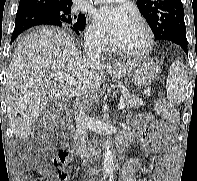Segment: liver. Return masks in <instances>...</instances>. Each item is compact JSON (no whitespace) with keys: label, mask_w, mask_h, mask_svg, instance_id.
Segmentation results:
<instances>
[{"label":"liver","mask_w":197,"mask_h":181,"mask_svg":"<svg viewBox=\"0 0 197 181\" xmlns=\"http://www.w3.org/2000/svg\"><path fill=\"white\" fill-rule=\"evenodd\" d=\"M134 61L111 65L91 62L73 38L60 30L40 28L18 44L6 75V104L10 127L18 138H27L35 120L53 98L90 94L104 81V73L120 79L130 73ZM61 71L77 85L58 82Z\"/></svg>","instance_id":"obj_1"}]
</instances>
